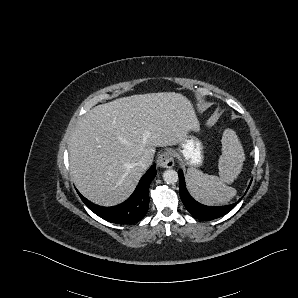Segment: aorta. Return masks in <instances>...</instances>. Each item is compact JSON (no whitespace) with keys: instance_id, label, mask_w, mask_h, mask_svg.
Masks as SVG:
<instances>
[{"instance_id":"aorta-1","label":"aorta","mask_w":298,"mask_h":298,"mask_svg":"<svg viewBox=\"0 0 298 298\" xmlns=\"http://www.w3.org/2000/svg\"><path fill=\"white\" fill-rule=\"evenodd\" d=\"M162 178L166 184H175L179 181V174L174 169H167L163 172Z\"/></svg>"}]
</instances>
